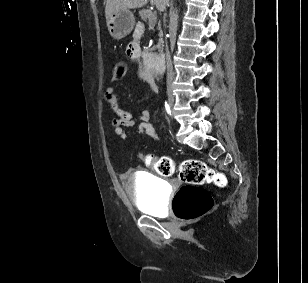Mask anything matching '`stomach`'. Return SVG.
Segmentation results:
<instances>
[{
  "label": "stomach",
  "mask_w": 308,
  "mask_h": 283,
  "mask_svg": "<svg viewBox=\"0 0 308 283\" xmlns=\"http://www.w3.org/2000/svg\"><path fill=\"white\" fill-rule=\"evenodd\" d=\"M107 28L113 39L120 40L131 33L135 17L129 9L119 10L106 20Z\"/></svg>",
  "instance_id": "1"
}]
</instances>
